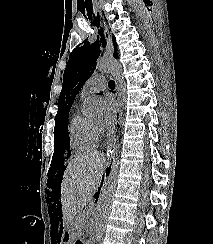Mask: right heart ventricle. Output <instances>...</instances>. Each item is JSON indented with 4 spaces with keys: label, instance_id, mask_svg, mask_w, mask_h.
<instances>
[{
    "label": "right heart ventricle",
    "instance_id": "e07e8e85",
    "mask_svg": "<svg viewBox=\"0 0 213 244\" xmlns=\"http://www.w3.org/2000/svg\"><path fill=\"white\" fill-rule=\"evenodd\" d=\"M71 147L78 152L94 150L98 146L99 134L92 120L75 112L68 126Z\"/></svg>",
    "mask_w": 213,
    "mask_h": 244
}]
</instances>
